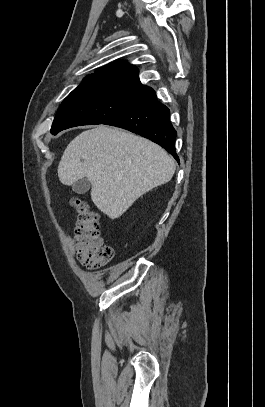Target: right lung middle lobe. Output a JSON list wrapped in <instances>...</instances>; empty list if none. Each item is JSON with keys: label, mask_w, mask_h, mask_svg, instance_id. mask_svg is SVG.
<instances>
[{"label": "right lung middle lobe", "mask_w": 265, "mask_h": 407, "mask_svg": "<svg viewBox=\"0 0 265 407\" xmlns=\"http://www.w3.org/2000/svg\"><path fill=\"white\" fill-rule=\"evenodd\" d=\"M151 87L110 77H86L62 102L51 133L103 124L141 104L154 94Z\"/></svg>", "instance_id": "1"}]
</instances>
